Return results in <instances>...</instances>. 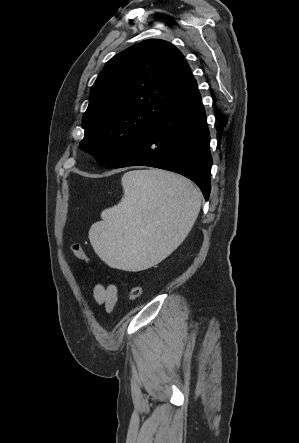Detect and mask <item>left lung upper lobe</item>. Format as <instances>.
Wrapping results in <instances>:
<instances>
[{"instance_id": "5c2ea615", "label": "left lung upper lobe", "mask_w": 299, "mask_h": 443, "mask_svg": "<svg viewBox=\"0 0 299 443\" xmlns=\"http://www.w3.org/2000/svg\"><path fill=\"white\" fill-rule=\"evenodd\" d=\"M192 78L183 54L167 41L145 40L115 55L91 88L80 148L112 168Z\"/></svg>"}]
</instances>
